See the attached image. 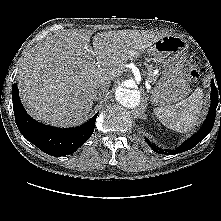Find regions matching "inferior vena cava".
<instances>
[{
	"label": "inferior vena cava",
	"mask_w": 221,
	"mask_h": 221,
	"mask_svg": "<svg viewBox=\"0 0 221 221\" xmlns=\"http://www.w3.org/2000/svg\"><path fill=\"white\" fill-rule=\"evenodd\" d=\"M108 92V87L107 86H102L98 89L95 90L93 94V98L96 99H101L105 97L106 93Z\"/></svg>",
	"instance_id": "inferior-vena-cava-1"
}]
</instances>
